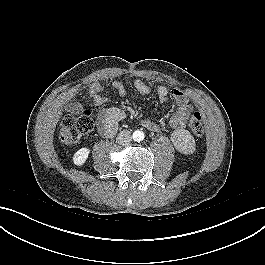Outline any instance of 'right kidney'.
Listing matches in <instances>:
<instances>
[{"label": "right kidney", "mask_w": 265, "mask_h": 265, "mask_svg": "<svg viewBox=\"0 0 265 265\" xmlns=\"http://www.w3.org/2000/svg\"><path fill=\"white\" fill-rule=\"evenodd\" d=\"M89 153L90 149L87 147L79 149L73 156L74 164L77 166H82L88 159Z\"/></svg>", "instance_id": "obj_1"}]
</instances>
